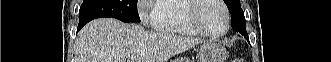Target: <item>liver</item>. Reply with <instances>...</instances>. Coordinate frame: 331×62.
I'll return each instance as SVG.
<instances>
[{
    "label": "liver",
    "instance_id": "6515ba94",
    "mask_svg": "<svg viewBox=\"0 0 331 62\" xmlns=\"http://www.w3.org/2000/svg\"><path fill=\"white\" fill-rule=\"evenodd\" d=\"M202 41L166 31L150 32L112 18L88 23L76 40L77 62H166ZM135 59L131 60L130 57Z\"/></svg>",
    "mask_w": 331,
    "mask_h": 62
}]
</instances>
